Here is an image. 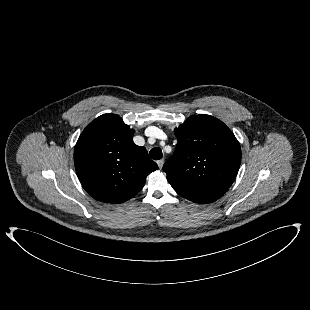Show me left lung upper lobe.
Returning <instances> with one entry per match:
<instances>
[{"label":"left lung upper lobe","instance_id":"5c2ea615","mask_svg":"<svg viewBox=\"0 0 310 310\" xmlns=\"http://www.w3.org/2000/svg\"><path fill=\"white\" fill-rule=\"evenodd\" d=\"M174 133L178 143L163 166L168 182L190 201H216L232 185L240 167L236 137L222 121L206 114L190 116Z\"/></svg>","mask_w":310,"mask_h":310}]
</instances>
